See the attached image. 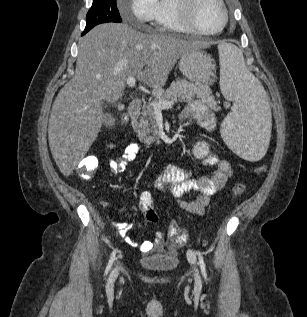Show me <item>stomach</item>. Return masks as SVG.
I'll use <instances>...</instances> for the list:
<instances>
[{
  "instance_id": "1",
  "label": "stomach",
  "mask_w": 307,
  "mask_h": 317,
  "mask_svg": "<svg viewBox=\"0 0 307 317\" xmlns=\"http://www.w3.org/2000/svg\"><path fill=\"white\" fill-rule=\"evenodd\" d=\"M215 63L208 53L192 48L180 56L179 69L190 81L209 85L213 82Z\"/></svg>"
}]
</instances>
